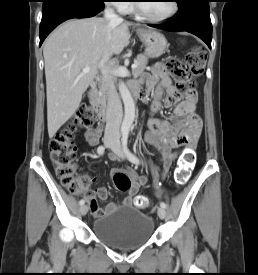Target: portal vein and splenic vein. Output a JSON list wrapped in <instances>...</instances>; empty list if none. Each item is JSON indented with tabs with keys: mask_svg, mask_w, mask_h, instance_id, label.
<instances>
[{
	"mask_svg": "<svg viewBox=\"0 0 258 275\" xmlns=\"http://www.w3.org/2000/svg\"><path fill=\"white\" fill-rule=\"evenodd\" d=\"M137 67V62L135 61L134 64H132L131 68L134 69ZM90 71V68L88 66H86L85 68H83V72L87 73Z\"/></svg>",
	"mask_w": 258,
	"mask_h": 275,
	"instance_id": "portal-vein-and-splenic-vein-1",
	"label": "portal vein and splenic vein"
}]
</instances>
